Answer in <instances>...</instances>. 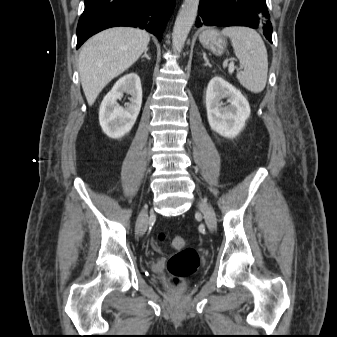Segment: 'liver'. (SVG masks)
Here are the masks:
<instances>
[{
	"label": "liver",
	"instance_id": "1",
	"mask_svg": "<svg viewBox=\"0 0 337 337\" xmlns=\"http://www.w3.org/2000/svg\"><path fill=\"white\" fill-rule=\"evenodd\" d=\"M150 35L131 27L110 28L95 35L82 47L79 74L88 104H94L102 89L131 67L148 49Z\"/></svg>",
	"mask_w": 337,
	"mask_h": 337
}]
</instances>
